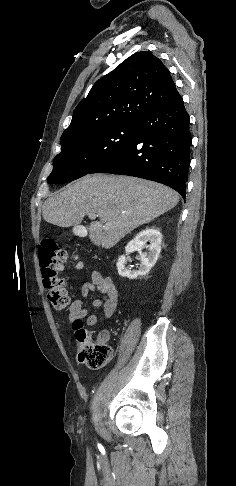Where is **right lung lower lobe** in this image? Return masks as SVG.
<instances>
[{"instance_id": "right-lung-lower-lobe-1", "label": "right lung lower lobe", "mask_w": 236, "mask_h": 486, "mask_svg": "<svg viewBox=\"0 0 236 486\" xmlns=\"http://www.w3.org/2000/svg\"><path fill=\"white\" fill-rule=\"evenodd\" d=\"M190 118L183 99L156 107L136 122L135 138L90 173H113L165 184L185 197Z\"/></svg>"}]
</instances>
